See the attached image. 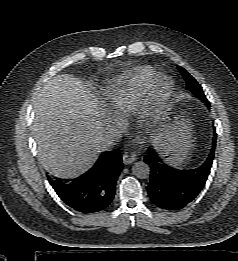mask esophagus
<instances>
[{
	"label": "esophagus",
	"instance_id": "34e87169",
	"mask_svg": "<svg viewBox=\"0 0 238 261\" xmlns=\"http://www.w3.org/2000/svg\"><path fill=\"white\" fill-rule=\"evenodd\" d=\"M135 160H136V155L134 153H128V152L123 153V163L124 164H131Z\"/></svg>",
	"mask_w": 238,
	"mask_h": 261
}]
</instances>
